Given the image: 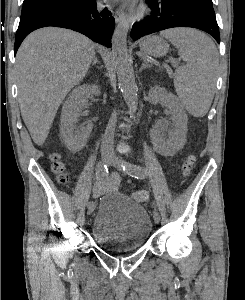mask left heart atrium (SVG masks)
Wrapping results in <instances>:
<instances>
[{"mask_svg":"<svg viewBox=\"0 0 245 300\" xmlns=\"http://www.w3.org/2000/svg\"><path fill=\"white\" fill-rule=\"evenodd\" d=\"M120 1H123V2H126V3H131L133 0H120Z\"/></svg>","mask_w":245,"mask_h":300,"instance_id":"left-heart-atrium-1","label":"left heart atrium"}]
</instances>
